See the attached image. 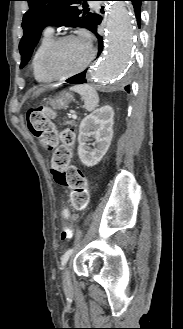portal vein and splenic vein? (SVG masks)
<instances>
[{
	"mask_svg": "<svg viewBox=\"0 0 183 329\" xmlns=\"http://www.w3.org/2000/svg\"><path fill=\"white\" fill-rule=\"evenodd\" d=\"M72 118L73 119H77V115L76 114H72Z\"/></svg>",
	"mask_w": 183,
	"mask_h": 329,
	"instance_id": "portal-vein-and-splenic-vein-1",
	"label": "portal vein and splenic vein"
}]
</instances>
